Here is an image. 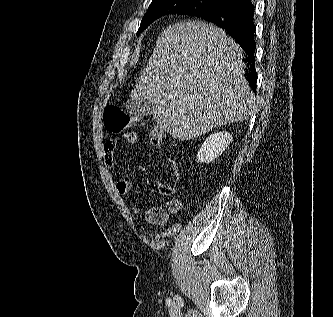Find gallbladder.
I'll list each match as a JSON object with an SVG mask.
<instances>
[{"mask_svg": "<svg viewBox=\"0 0 333 317\" xmlns=\"http://www.w3.org/2000/svg\"><path fill=\"white\" fill-rule=\"evenodd\" d=\"M126 108L131 115L143 117L152 114L154 105L152 102L146 101L144 99H130L127 101Z\"/></svg>", "mask_w": 333, "mask_h": 317, "instance_id": "bac80fb5", "label": "gallbladder"}]
</instances>
